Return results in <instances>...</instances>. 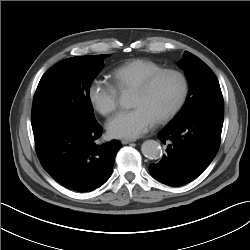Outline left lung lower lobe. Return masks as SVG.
<instances>
[{
    "mask_svg": "<svg viewBox=\"0 0 250 250\" xmlns=\"http://www.w3.org/2000/svg\"><path fill=\"white\" fill-rule=\"evenodd\" d=\"M223 117L224 104H217L166 126L158 133L166 153L159 163L149 165L151 175L169 186L197 178L218 152Z\"/></svg>",
    "mask_w": 250,
    "mask_h": 250,
    "instance_id": "1",
    "label": "left lung lower lobe"
}]
</instances>
